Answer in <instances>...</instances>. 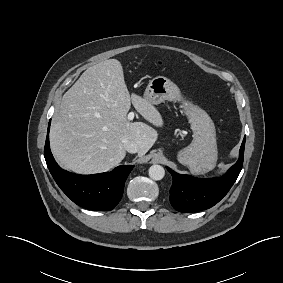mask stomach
<instances>
[{"label":"stomach","mask_w":283,"mask_h":283,"mask_svg":"<svg viewBox=\"0 0 283 283\" xmlns=\"http://www.w3.org/2000/svg\"><path fill=\"white\" fill-rule=\"evenodd\" d=\"M144 98L157 105L164 101L182 102V109L193 132V140L177 153L178 161L194 173L205 172L217 161L216 129L210 116L199 106L183 99L178 86L165 76L153 78Z\"/></svg>","instance_id":"1"}]
</instances>
